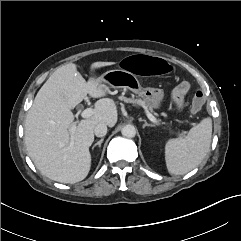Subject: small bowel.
<instances>
[{"label": "small bowel", "instance_id": "1", "mask_svg": "<svg viewBox=\"0 0 241 241\" xmlns=\"http://www.w3.org/2000/svg\"><path fill=\"white\" fill-rule=\"evenodd\" d=\"M149 55V54H147ZM155 56V55H153ZM155 57H160V56H155ZM190 90V85L188 82H181L174 90L173 94H172V100L175 104V106L178 109H181L184 106V101H185V97L188 94Z\"/></svg>", "mask_w": 241, "mask_h": 241}]
</instances>
